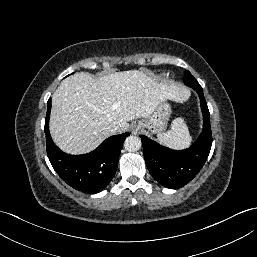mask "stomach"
Listing matches in <instances>:
<instances>
[{
    "label": "stomach",
    "instance_id": "stomach-1",
    "mask_svg": "<svg viewBox=\"0 0 257 257\" xmlns=\"http://www.w3.org/2000/svg\"><path fill=\"white\" fill-rule=\"evenodd\" d=\"M171 114L170 104L166 101L159 103L154 112L147 118L139 121L143 128H147L153 134H161L166 129Z\"/></svg>",
    "mask_w": 257,
    "mask_h": 257
}]
</instances>
